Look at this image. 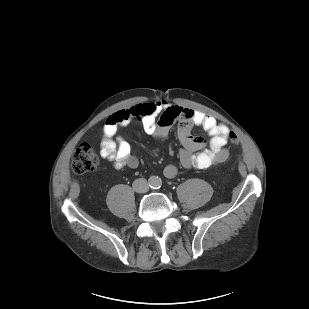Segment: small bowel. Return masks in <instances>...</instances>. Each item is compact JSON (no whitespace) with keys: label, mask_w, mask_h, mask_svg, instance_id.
<instances>
[{"label":"small bowel","mask_w":309,"mask_h":309,"mask_svg":"<svg viewBox=\"0 0 309 309\" xmlns=\"http://www.w3.org/2000/svg\"><path fill=\"white\" fill-rule=\"evenodd\" d=\"M139 121L145 132L158 140L167 137L170 128L177 123V136L181 144L180 164L184 169H206L223 163L229 156L226 149L230 129L211 115L188 107L173 105L165 100L136 103L108 117L103 128L100 154L117 169L137 168L138 159L132 155L128 141L117 136L119 127ZM192 127H200L210 136L207 147L203 140L191 133ZM177 168L168 165L164 169L167 178L177 175Z\"/></svg>","instance_id":"small-bowel-1"}]
</instances>
